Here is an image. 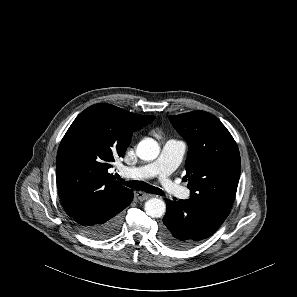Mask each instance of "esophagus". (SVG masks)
I'll return each mask as SVG.
<instances>
[{"label":"esophagus","instance_id":"34e87169","mask_svg":"<svg viewBox=\"0 0 297 297\" xmlns=\"http://www.w3.org/2000/svg\"><path fill=\"white\" fill-rule=\"evenodd\" d=\"M135 196L139 201H144V200L151 198L153 195L142 192V191H138V192H136Z\"/></svg>","mask_w":297,"mask_h":297}]
</instances>
